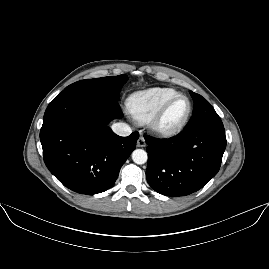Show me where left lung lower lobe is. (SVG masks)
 I'll return each mask as SVG.
<instances>
[{"mask_svg":"<svg viewBox=\"0 0 269 269\" xmlns=\"http://www.w3.org/2000/svg\"><path fill=\"white\" fill-rule=\"evenodd\" d=\"M146 177L158 193L176 197L200 190L219 171L226 148L223 123L185 129L169 139L145 136Z\"/></svg>","mask_w":269,"mask_h":269,"instance_id":"obj_1","label":"left lung lower lobe"}]
</instances>
